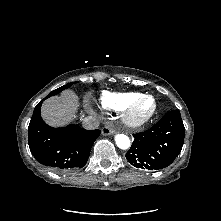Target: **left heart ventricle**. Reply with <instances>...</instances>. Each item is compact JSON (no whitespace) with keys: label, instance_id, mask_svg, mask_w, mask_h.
I'll use <instances>...</instances> for the list:
<instances>
[{"label":"left heart ventricle","instance_id":"obj_1","mask_svg":"<svg viewBox=\"0 0 221 221\" xmlns=\"http://www.w3.org/2000/svg\"><path fill=\"white\" fill-rule=\"evenodd\" d=\"M153 108V101L147 99L142 101L134 110L133 115L136 118H141L146 116Z\"/></svg>","mask_w":221,"mask_h":221}]
</instances>
